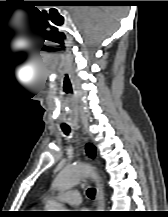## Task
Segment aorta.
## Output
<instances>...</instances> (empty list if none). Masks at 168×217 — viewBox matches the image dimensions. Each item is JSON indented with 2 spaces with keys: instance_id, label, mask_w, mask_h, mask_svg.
<instances>
[{
  "instance_id": "762f6f07",
  "label": "aorta",
  "mask_w": 168,
  "mask_h": 217,
  "mask_svg": "<svg viewBox=\"0 0 168 217\" xmlns=\"http://www.w3.org/2000/svg\"><path fill=\"white\" fill-rule=\"evenodd\" d=\"M92 177L100 179L98 174L88 164H76L63 168L53 182V187L58 191H65L77 185L84 179ZM49 211H67L59 203H54Z\"/></svg>"
}]
</instances>
